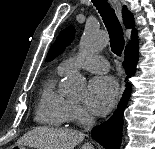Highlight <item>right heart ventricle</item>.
I'll list each match as a JSON object with an SVG mask.
<instances>
[{"label":"right heart ventricle","instance_id":"1","mask_svg":"<svg viewBox=\"0 0 155 149\" xmlns=\"http://www.w3.org/2000/svg\"><path fill=\"white\" fill-rule=\"evenodd\" d=\"M59 67L43 84L35 118L40 124L61 127L69 122V100L56 90L58 77L63 75Z\"/></svg>","mask_w":155,"mask_h":149}]
</instances>
